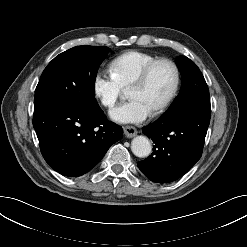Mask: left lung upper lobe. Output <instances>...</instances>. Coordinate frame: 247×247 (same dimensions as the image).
<instances>
[{
	"label": "left lung upper lobe",
	"mask_w": 247,
	"mask_h": 247,
	"mask_svg": "<svg viewBox=\"0 0 247 247\" xmlns=\"http://www.w3.org/2000/svg\"><path fill=\"white\" fill-rule=\"evenodd\" d=\"M176 63L182 75V86L168 109L173 111L182 109L199 96H209L208 86L197 65L185 56L176 57Z\"/></svg>",
	"instance_id": "1"
}]
</instances>
